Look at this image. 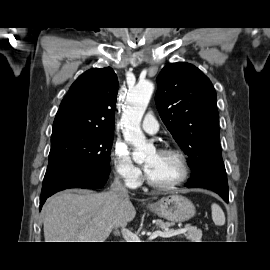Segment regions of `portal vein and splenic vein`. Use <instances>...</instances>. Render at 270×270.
<instances>
[{"label": "portal vein and splenic vein", "instance_id": "18ae733b", "mask_svg": "<svg viewBox=\"0 0 270 270\" xmlns=\"http://www.w3.org/2000/svg\"><path fill=\"white\" fill-rule=\"evenodd\" d=\"M187 229H188V227L185 226L183 228L176 229V230H166L164 232L155 231L149 236L148 240H153V239H156L157 237L169 238L172 236H176V235L185 233L187 231ZM121 232H122V235H123L124 239L126 240V242H141L138 235L134 234L130 230L126 229L125 227H123L121 229Z\"/></svg>", "mask_w": 270, "mask_h": 270}]
</instances>
